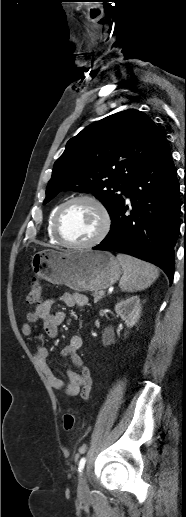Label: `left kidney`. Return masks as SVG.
I'll list each match as a JSON object with an SVG mask.
<instances>
[{
  "label": "left kidney",
  "instance_id": "left-kidney-1",
  "mask_svg": "<svg viewBox=\"0 0 186 517\" xmlns=\"http://www.w3.org/2000/svg\"><path fill=\"white\" fill-rule=\"evenodd\" d=\"M141 303L138 296H132L115 305V312L125 321L128 328L133 327L140 318Z\"/></svg>",
  "mask_w": 186,
  "mask_h": 517
}]
</instances>
